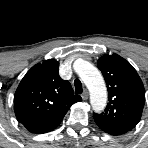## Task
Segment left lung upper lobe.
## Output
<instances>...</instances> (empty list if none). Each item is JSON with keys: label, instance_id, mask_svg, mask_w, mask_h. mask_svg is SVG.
Segmentation results:
<instances>
[{"label": "left lung upper lobe", "instance_id": "obj_1", "mask_svg": "<svg viewBox=\"0 0 148 148\" xmlns=\"http://www.w3.org/2000/svg\"><path fill=\"white\" fill-rule=\"evenodd\" d=\"M97 66L107 84L108 104L104 112L94 113L93 118L98 126L126 133L140 121L145 102L143 83L133 66L117 54H105Z\"/></svg>", "mask_w": 148, "mask_h": 148}]
</instances>
